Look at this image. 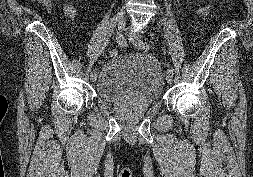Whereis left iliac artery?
Returning <instances> with one entry per match:
<instances>
[{
	"label": "left iliac artery",
	"mask_w": 253,
	"mask_h": 177,
	"mask_svg": "<svg viewBox=\"0 0 253 177\" xmlns=\"http://www.w3.org/2000/svg\"><path fill=\"white\" fill-rule=\"evenodd\" d=\"M137 45L139 46V48L141 49H146L149 50L152 47L151 43H147V42H143V41H137ZM166 74H174V71L172 68H168L166 71Z\"/></svg>",
	"instance_id": "obj_1"
}]
</instances>
